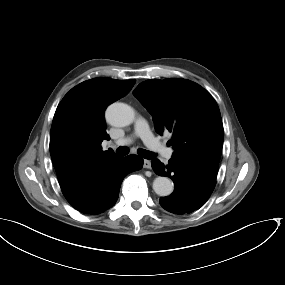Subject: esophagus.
Masks as SVG:
<instances>
[{
    "instance_id": "esophagus-1",
    "label": "esophagus",
    "mask_w": 285,
    "mask_h": 285,
    "mask_svg": "<svg viewBox=\"0 0 285 285\" xmlns=\"http://www.w3.org/2000/svg\"><path fill=\"white\" fill-rule=\"evenodd\" d=\"M143 167L146 169H150L151 168V161L148 159H144Z\"/></svg>"
}]
</instances>
